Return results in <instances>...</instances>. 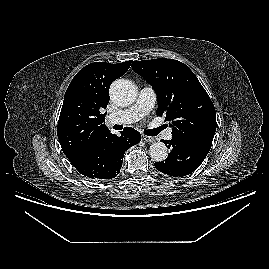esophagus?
Instances as JSON below:
<instances>
[{"label": "esophagus", "instance_id": "34e87169", "mask_svg": "<svg viewBox=\"0 0 269 269\" xmlns=\"http://www.w3.org/2000/svg\"><path fill=\"white\" fill-rule=\"evenodd\" d=\"M142 139L146 142H153L155 141V139L153 137H150V136H147V135H144L142 134Z\"/></svg>", "mask_w": 269, "mask_h": 269}]
</instances>
